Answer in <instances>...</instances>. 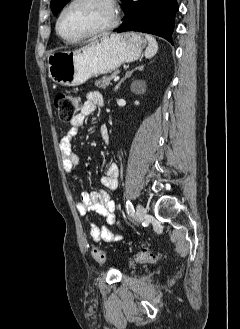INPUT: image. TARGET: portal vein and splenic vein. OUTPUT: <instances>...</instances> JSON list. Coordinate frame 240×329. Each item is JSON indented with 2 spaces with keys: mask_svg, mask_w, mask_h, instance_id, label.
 <instances>
[{
  "mask_svg": "<svg viewBox=\"0 0 240 329\" xmlns=\"http://www.w3.org/2000/svg\"><path fill=\"white\" fill-rule=\"evenodd\" d=\"M119 76H116L115 78H114V81H118L119 80Z\"/></svg>",
  "mask_w": 240,
  "mask_h": 329,
  "instance_id": "obj_1",
  "label": "portal vein and splenic vein"
}]
</instances>
